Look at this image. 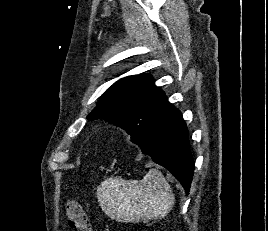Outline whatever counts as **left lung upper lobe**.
I'll return each instance as SVG.
<instances>
[{"label": "left lung upper lobe", "mask_w": 268, "mask_h": 231, "mask_svg": "<svg viewBox=\"0 0 268 231\" xmlns=\"http://www.w3.org/2000/svg\"><path fill=\"white\" fill-rule=\"evenodd\" d=\"M173 108L151 76L133 75L109 87L87 119L104 118L124 129L136 143L145 139Z\"/></svg>", "instance_id": "obj_1"}]
</instances>
